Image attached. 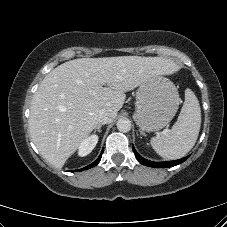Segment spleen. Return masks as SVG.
<instances>
[{"instance_id":"spleen-1","label":"spleen","mask_w":227,"mask_h":227,"mask_svg":"<svg viewBox=\"0 0 227 227\" xmlns=\"http://www.w3.org/2000/svg\"><path fill=\"white\" fill-rule=\"evenodd\" d=\"M201 126V110L191 89L185 90V101L178 120L167 133L153 137L152 148L164 159L184 157L195 145Z\"/></svg>"}]
</instances>
